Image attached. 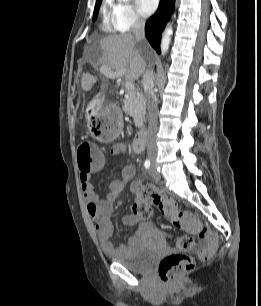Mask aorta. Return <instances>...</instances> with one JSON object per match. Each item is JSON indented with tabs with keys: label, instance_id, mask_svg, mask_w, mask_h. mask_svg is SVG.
I'll use <instances>...</instances> for the list:
<instances>
[{
	"label": "aorta",
	"instance_id": "aorta-1",
	"mask_svg": "<svg viewBox=\"0 0 261 306\" xmlns=\"http://www.w3.org/2000/svg\"><path fill=\"white\" fill-rule=\"evenodd\" d=\"M120 1H128V0H120ZM173 33V28L172 25H167V27L165 28L163 35H162V39H161V53L162 55L166 54V52L169 49V45L171 42V36Z\"/></svg>",
	"mask_w": 261,
	"mask_h": 306
}]
</instances>
